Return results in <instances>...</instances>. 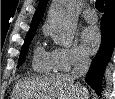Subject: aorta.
Instances as JSON below:
<instances>
[{
    "label": "aorta",
    "instance_id": "1",
    "mask_svg": "<svg viewBox=\"0 0 115 99\" xmlns=\"http://www.w3.org/2000/svg\"><path fill=\"white\" fill-rule=\"evenodd\" d=\"M76 0H54L49 13V28L53 40L61 46H69L75 35L79 13Z\"/></svg>",
    "mask_w": 115,
    "mask_h": 99
}]
</instances>
